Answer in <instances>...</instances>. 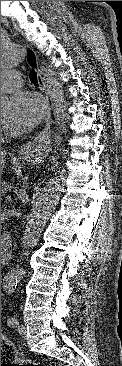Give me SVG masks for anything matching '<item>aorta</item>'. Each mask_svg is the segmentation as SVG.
<instances>
[{
    "mask_svg": "<svg viewBox=\"0 0 122 366\" xmlns=\"http://www.w3.org/2000/svg\"><path fill=\"white\" fill-rule=\"evenodd\" d=\"M25 60L24 48L20 44L12 42L1 43V70H8L22 64ZM45 82L47 92L50 96L52 107L54 110L56 125L65 130V122L67 115V104L61 82L50 69H45ZM8 99L1 95V112H5ZM65 178V170L58 167L54 174L46 181L37 197L30 217L24 229L22 237V247L29 248L37 244L44 227L46 226L56 204L58 203L61 193L64 190L63 180Z\"/></svg>",
    "mask_w": 122,
    "mask_h": 366,
    "instance_id": "obj_1",
    "label": "aorta"
}]
</instances>
